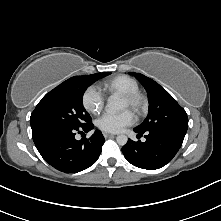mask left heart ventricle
Wrapping results in <instances>:
<instances>
[{"label": "left heart ventricle", "instance_id": "left-heart-ventricle-1", "mask_svg": "<svg viewBox=\"0 0 221 221\" xmlns=\"http://www.w3.org/2000/svg\"><path fill=\"white\" fill-rule=\"evenodd\" d=\"M122 108H123V109L129 108L128 103H127L124 99H122Z\"/></svg>", "mask_w": 221, "mask_h": 221}]
</instances>
